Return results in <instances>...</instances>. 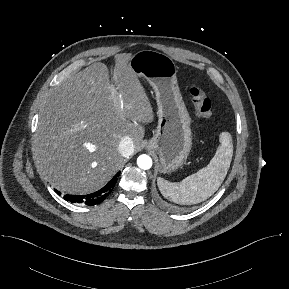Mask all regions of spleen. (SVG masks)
I'll use <instances>...</instances> for the list:
<instances>
[{"mask_svg": "<svg viewBox=\"0 0 289 289\" xmlns=\"http://www.w3.org/2000/svg\"><path fill=\"white\" fill-rule=\"evenodd\" d=\"M220 146L209 164L186 177L181 182L172 183L158 178L162 195L178 204H197L212 196L224 181L233 156L232 137L229 132L220 135Z\"/></svg>", "mask_w": 289, "mask_h": 289, "instance_id": "3e777b00", "label": "spleen"}]
</instances>
